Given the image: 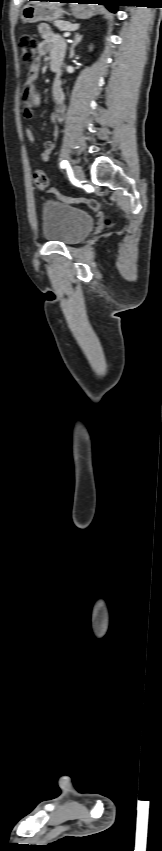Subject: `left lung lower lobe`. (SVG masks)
<instances>
[{"instance_id":"0a47b994","label":"left lung lower lobe","mask_w":162,"mask_h":851,"mask_svg":"<svg viewBox=\"0 0 162 851\" xmlns=\"http://www.w3.org/2000/svg\"><path fill=\"white\" fill-rule=\"evenodd\" d=\"M48 1V0H43ZM81 3L105 5L112 12L117 11V6H121L123 0H81ZM60 2H70V0H60Z\"/></svg>"}]
</instances>
